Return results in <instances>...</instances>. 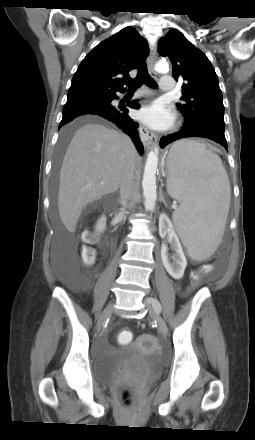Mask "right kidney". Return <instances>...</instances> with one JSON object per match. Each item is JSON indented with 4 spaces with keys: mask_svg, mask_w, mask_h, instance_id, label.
I'll list each match as a JSON object with an SVG mask.
<instances>
[{
    "mask_svg": "<svg viewBox=\"0 0 255 440\" xmlns=\"http://www.w3.org/2000/svg\"><path fill=\"white\" fill-rule=\"evenodd\" d=\"M105 228H106V217L102 216L97 222L96 231L99 233H103L105 231Z\"/></svg>",
    "mask_w": 255,
    "mask_h": 440,
    "instance_id": "right-kidney-1",
    "label": "right kidney"
}]
</instances>
